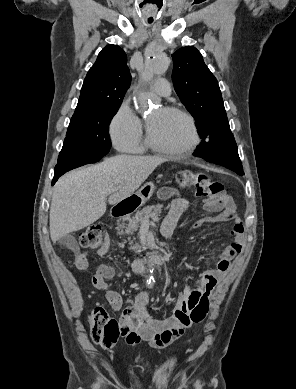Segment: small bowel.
<instances>
[{
	"instance_id": "obj_1",
	"label": "small bowel",
	"mask_w": 296,
	"mask_h": 389,
	"mask_svg": "<svg viewBox=\"0 0 296 389\" xmlns=\"http://www.w3.org/2000/svg\"><path fill=\"white\" fill-rule=\"evenodd\" d=\"M175 196L171 203L163 225L162 233L170 236L177 224L179 217L190 209V202L179 195L172 188H162L159 197L166 199ZM206 208L217 211V214L197 221L194 226L199 227L205 222H233L231 234L233 241L228 244L217 258L216 267L205 271L199 284L195 289H187L177 296L173 312L166 318H156L148 313V294L138 293L134 304L127 307L120 317L121 334L125 336L128 344L134 345L141 341H147L156 349H163L183 335L186 329L195 322L193 314L205 313L209 309V302L212 292L218 281L223 279L230 269L231 260L239 254L244 245V226L238 216L233 202L225 197L220 205ZM107 246L99 249L100 256L105 255ZM75 266L78 270L84 271L88 268V260L85 254H80L75 259ZM113 276L112 268L106 265H99L92 276L91 283L95 289L103 290L105 297L113 311L121 309L123 300L119 292L111 287L109 280Z\"/></svg>"
}]
</instances>
